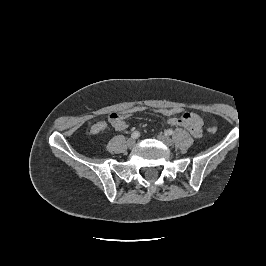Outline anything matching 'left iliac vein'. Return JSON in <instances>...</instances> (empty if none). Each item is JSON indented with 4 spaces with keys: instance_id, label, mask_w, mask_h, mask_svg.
I'll return each mask as SVG.
<instances>
[{
    "instance_id": "1",
    "label": "left iliac vein",
    "mask_w": 266,
    "mask_h": 266,
    "mask_svg": "<svg viewBox=\"0 0 266 266\" xmlns=\"http://www.w3.org/2000/svg\"><path fill=\"white\" fill-rule=\"evenodd\" d=\"M157 138L167 146H171L173 144V140L166 135L159 134L157 135Z\"/></svg>"
}]
</instances>
